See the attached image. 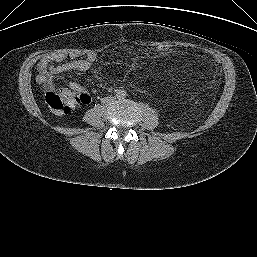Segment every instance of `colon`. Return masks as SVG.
Here are the masks:
<instances>
[{"label": "colon", "mask_w": 257, "mask_h": 257, "mask_svg": "<svg viewBox=\"0 0 257 257\" xmlns=\"http://www.w3.org/2000/svg\"><path fill=\"white\" fill-rule=\"evenodd\" d=\"M160 54L170 52V47L166 44H160L156 47ZM45 100L48 107L58 114H70L79 103H86V97L82 94L72 92L64 88L53 86L48 88L45 94Z\"/></svg>", "instance_id": "obj_1"}]
</instances>
